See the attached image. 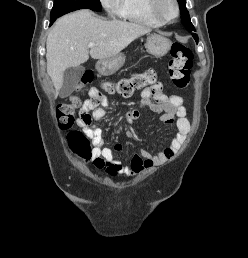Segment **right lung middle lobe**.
Instances as JSON below:
<instances>
[{
	"mask_svg": "<svg viewBox=\"0 0 248 258\" xmlns=\"http://www.w3.org/2000/svg\"><path fill=\"white\" fill-rule=\"evenodd\" d=\"M79 9H91L101 11L99 0H54V5L51 11V21L58 17Z\"/></svg>",
	"mask_w": 248,
	"mask_h": 258,
	"instance_id": "dd1d6c3e",
	"label": "right lung middle lobe"
}]
</instances>
